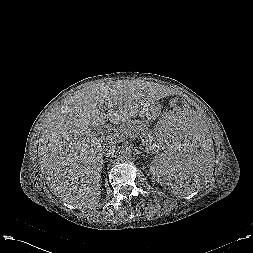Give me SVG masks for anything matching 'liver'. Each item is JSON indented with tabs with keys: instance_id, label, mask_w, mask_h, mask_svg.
<instances>
[{
	"instance_id": "liver-1",
	"label": "liver",
	"mask_w": 253,
	"mask_h": 253,
	"mask_svg": "<svg viewBox=\"0 0 253 253\" xmlns=\"http://www.w3.org/2000/svg\"><path fill=\"white\" fill-rule=\"evenodd\" d=\"M158 86L140 81L97 83L65 99L41 127L38 155L52 193L78 208L101 197L103 151L92 127L119 125L158 99ZM108 109V111H106Z\"/></svg>"
}]
</instances>
